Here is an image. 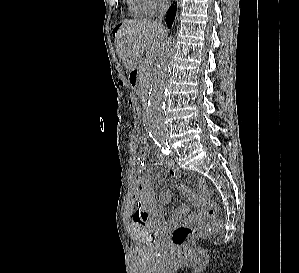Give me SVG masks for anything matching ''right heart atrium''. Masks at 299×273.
I'll use <instances>...</instances> for the list:
<instances>
[{
  "instance_id": "right-heart-atrium-1",
  "label": "right heart atrium",
  "mask_w": 299,
  "mask_h": 273,
  "mask_svg": "<svg viewBox=\"0 0 299 273\" xmlns=\"http://www.w3.org/2000/svg\"><path fill=\"white\" fill-rule=\"evenodd\" d=\"M145 8L152 14L161 7L165 0H141Z\"/></svg>"
}]
</instances>
